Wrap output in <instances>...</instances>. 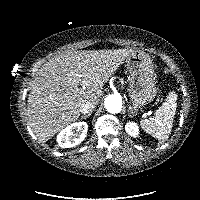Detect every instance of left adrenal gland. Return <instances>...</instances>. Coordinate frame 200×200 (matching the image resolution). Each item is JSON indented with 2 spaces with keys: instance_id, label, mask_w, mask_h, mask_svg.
<instances>
[{
  "instance_id": "left-adrenal-gland-1",
  "label": "left adrenal gland",
  "mask_w": 200,
  "mask_h": 200,
  "mask_svg": "<svg viewBox=\"0 0 200 200\" xmlns=\"http://www.w3.org/2000/svg\"><path fill=\"white\" fill-rule=\"evenodd\" d=\"M134 114H137V113L134 111V109L131 106H129V108H128V116L132 117Z\"/></svg>"
}]
</instances>
